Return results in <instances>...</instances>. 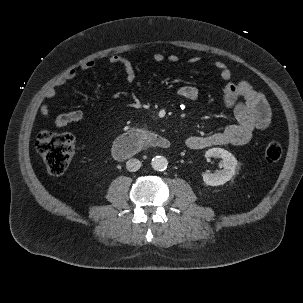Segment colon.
Returning a JSON list of instances; mask_svg holds the SVG:
<instances>
[{"label":"colon","mask_w":303,"mask_h":303,"mask_svg":"<svg viewBox=\"0 0 303 303\" xmlns=\"http://www.w3.org/2000/svg\"><path fill=\"white\" fill-rule=\"evenodd\" d=\"M74 147L75 138L70 133L43 130L36 140V149L52 175H61L67 170ZM282 152V147L278 142H270L264 151L265 160L268 163H275L280 160Z\"/></svg>","instance_id":"obj_1"}]
</instances>
